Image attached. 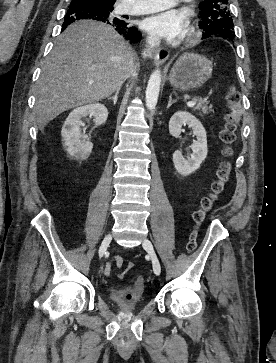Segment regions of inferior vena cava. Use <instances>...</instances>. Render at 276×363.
Returning <instances> with one entry per match:
<instances>
[{"instance_id": "inferior-vena-cava-1", "label": "inferior vena cava", "mask_w": 276, "mask_h": 363, "mask_svg": "<svg viewBox=\"0 0 276 363\" xmlns=\"http://www.w3.org/2000/svg\"><path fill=\"white\" fill-rule=\"evenodd\" d=\"M148 48L143 52V56L147 57L150 54V49L160 44V39L155 36H149L147 38Z\"/></svg>"}]
</instances>
